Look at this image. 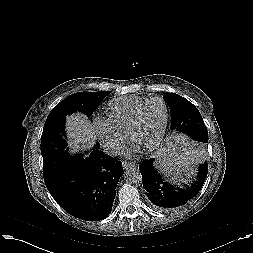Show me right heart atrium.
Returning a JSON list of instances; mask_svg holds the SVG:
<instances>
[{"label": "right heart atrium", "mask_w": 253, "mask_h": 253, "mask_svg": "<svg viewBox=\"0 0 253 253\" xmlns=\"http://www.w3.org/2000/svg\"><path fill=\"white\" fill-rule=\"evenodd\" d=\"M95 128L103 148L109 153H117L126 140L124 133L117 131L107 119L95 120Z\"/></svg>", "instance_id": "d8ad5b80"}]
</instances>
